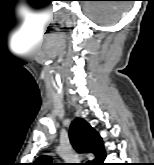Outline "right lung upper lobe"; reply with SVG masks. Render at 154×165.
<instances>
[{
  "instance_id": "right-lung-upper-lobe-1",
  "label": "right lung upper lobe",
  "mask_w": 154,
  "mask_h": 165,
  "mask_svg": "<svg viewBox=\"0 0 154 165\" xmlns=\"http://www.w3.org/2000/svg\"><path fill=\"white\" fill-rule=\"evenodd\" d=\"M69 138L72 146L79 153H92L95 156L103 144L98 132L82 118H77L72 122ZM51 160L49 156H40L33 165H55Z\"/></svg>"
}]
</instances>
